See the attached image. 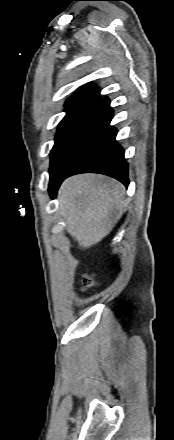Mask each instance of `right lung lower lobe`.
Wrapping results in <instances>:
<instances>
[{
  "label": "right lung lower lobe",
  "instance_id": "obj_1",
  "mask_svg": "<svg viewBox=\"0 0 174 440\" xmlns=\"http://www.w3.org/2000/svg\"><path fill=\"white\" fill-rule=\"evenodd\" d=\"M100 109L95 120L93 132L82 154L73 168L56 183L49 186L50 196L56 197L62 181L78 173H101L113 177L128 187V163L124 150L116 142L117 131L110 122L113 110L108 98L99 99Z\"/></svg>",
  "mask_w": 174,
  "mask_h": 440
}]
</instances>
